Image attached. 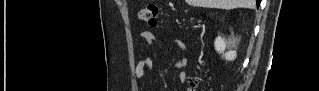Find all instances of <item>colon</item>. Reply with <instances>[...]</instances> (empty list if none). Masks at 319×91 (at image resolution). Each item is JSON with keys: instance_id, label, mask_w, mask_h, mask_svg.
<instances>
[{"instance_id": "5ec220e1", "label": "colon", "mask_w": 319, "mask_h": 91, "mask_svg": "<svg viewBox=\"0 0 319 91\" xmlns=\"http://www.w3.org/2000/svg\"><path fill=\"white\" fill-rule=\"evenodd\" d=\"M157 13V5L154 3H148L138 11V18L140 21L147 23L149 26L155 27L157 25ZM197 83L198 82L194 79L190 80V85L192 87H196Z\"/></svg>"}]
</instances>
